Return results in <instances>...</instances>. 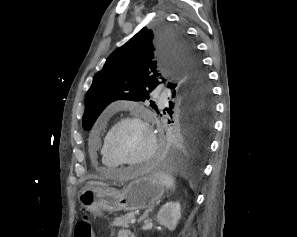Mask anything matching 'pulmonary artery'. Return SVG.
Here are the masks:
<instances>
[{
    "label": "pulmonary artery",
    "instance_id": "obj_1",
    "mask_svg": "<svg viewBox=\"0 0 297 237\" xmlns=\"http://www.w3.org/2000/svg\"><path fill=\"white\" fill-rule=\"evenodd\" d=\"M118 106V103L112 104V108H116Z\"/></svg>",
    "mask_w": 297,
    "mask_h": 237
}]
</instances>
